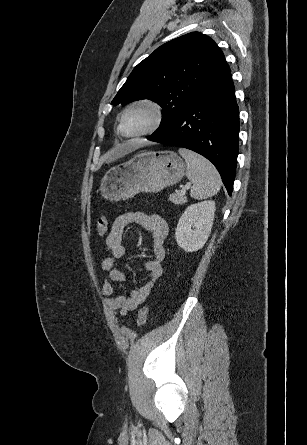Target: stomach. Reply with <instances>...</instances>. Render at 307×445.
Wrapping results in <instances>:
<instances>
[{
	"instance_id": "stomach-1",
	"label": "stomach",
	"mask_w": 307,
	"mask_h": 445,
	"mask_svg": "<svg viewBox=\"0 0 307 445\" xmlns=\"http://www.w3.org/2000/svg\"><path fill=\"white\" fill-rule=\"evenodd\" d=\"M186 164L172 150H140L107 170L100 192L107 200H126L138 192H159L183 178Z\"/></svg>"
}]
</instances>
